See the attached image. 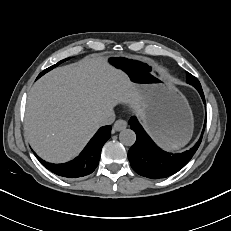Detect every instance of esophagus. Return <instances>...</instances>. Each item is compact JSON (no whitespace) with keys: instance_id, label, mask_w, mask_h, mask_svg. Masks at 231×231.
Here are the masks:
<instances>
[{"instance_id":"1","label":"esophagus","mask_w":231,"mask_h":231,"mask_svg":"<svg viewBox=\"0 0 231 231\" xmlns=\"http://www.w3.org/2000/svg\"><path fill=\"white\" fill-rule=\"evenodd\" d=\"M127 127V122L123 119H118L115 121L112 127L113 132H119Z\"/></svg>"}]
</instances>
